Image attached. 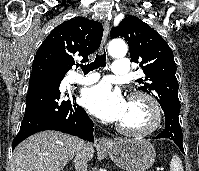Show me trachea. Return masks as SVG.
<instances>
[{"mask_svg":"<svg viewBox=\"0 0 199 171\" xmlns=\"http://www.w3.org/2000/svg\"><path fill=\"white\" fill-rule=\"evenodd\" d=\"M99 67H106L105 51L103 54H97L94 62L87 64V65H82L81 69L86 74L90 71H93V70L99 68Z\"/></svg>","mask_w":199,"mask_h":171,"instance_id":"3493384b","label":"trachea"}]
</instances>
